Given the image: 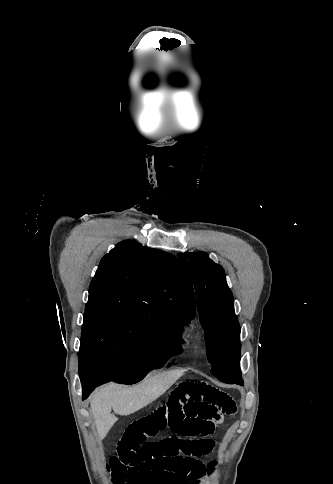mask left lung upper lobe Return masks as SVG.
Wrapping results in <instances>:
<instances>
[{
  "label": "left lung upper lobe",
  "instance_id": "obj_1",
  "mask_svg": "<svg viewBox=\"0 0 333 484\" xmlns=\"http://www.w3.org/2000/svg\"><path fill=\"white\" fill-rule=\"evenodd\" d=\"M196 291L211 373L225 383H240V326L225 272L205 252L177 254Z\"/></svg>",
  "mask_w": 333,
  "mask_h": 484
}]
</instances>
